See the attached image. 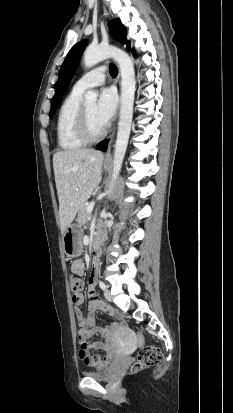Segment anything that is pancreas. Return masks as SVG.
<instances>
[{
	"mask_svg": "<svg viewBox=\"0 0 233 413\" xmlns=\"http://www.w3.org/2000/svg\"><path fill=\"white\" fill-rule=\"evenodd\" d=\"M88 205L84 204L81 209L79 210L78 216H77V223L79 225H85L91 218V212L87 211Z\"/></svg>",
	"mask_w": 233,
	"mask_h": 413,
	"instance_id": "pancreas-1",
	"label": "pancreas"
}]
</instances>
